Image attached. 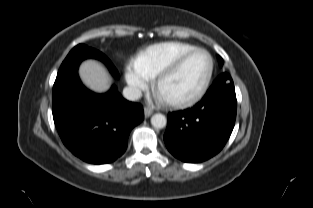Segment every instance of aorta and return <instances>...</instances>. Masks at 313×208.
I'll use <instances>...</instances> for the list:
<instances>
[{"mask_svg":"<svg viewBox=\"0 0 313 208\" xmlns=\"http://www.w3.org/2000/svg\"><path fill=\"white\" fill-rule=\"evenodd\" d=\"M151 124L158 129L164 128L167 124V119L163 114H154L151 118Z\"/></svg>","mask_w":313,"mask_h":208,"instance_id":"1","label":"aorta"}]
</instances>
